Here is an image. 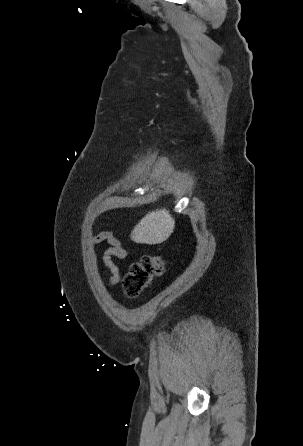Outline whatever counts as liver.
<instances>
[{
	"label": "liver",
	"mask_w": 303,
	"mask_h": 446,
	"mask_svg": "<svg viewBox=\"0 0 303 446\" xmlns=\"http://www.w3.org/2000/svg\"><path fill=\"white\" fill-rule=\"evenodd\" d=\"M175 220L168 210L160 209L149 212L134 227L131 239L140 244L155 245L166 241L172 234Z\"/></svg>",
	"instance_id": "6515ba94"
}]
</instances>
